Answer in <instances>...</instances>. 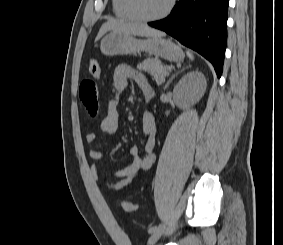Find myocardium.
I'll return each instance as SVG.
<instances>
[{
  "mask_svg": "<svg viewBox=\"0 0 283 245\" xmlns=\"http://www.w3.org/2000/svg\"><path fill=\"white\" fill-rule=\"evenodd\" d=\"M175 2L176 0H168L166 7L161 13L155 16H150V17L141 15L137 11L135 7V0H126V6H127L129 13L132 15L134 19L141 21V22H154V21H158V20H161L167 17L169 13L171 12V10L173 9Z\"/></svg>",
  "mask_w": 283,
  "mask_h": 245,
  "instance_id": "1",
  "label": "myocardium"
}]
</instances>
